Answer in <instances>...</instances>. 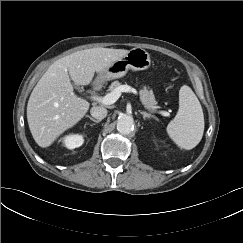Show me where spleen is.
<instances>
[{
	"mask_svg": "<svg viewBox=\"0 0 243 243\" xmlns=\"http://www.w3.org/2000/svg\"><path fill=\"white\" fill-rule=\"evenodd\" d=\"M166 131L174 143L185 150L193 149L202 139L203 110L197 96L187 85L179 90V109Z\"/></svg>",
	"mask_w": 243,
	"mask_h": 243,
	"instance_id": "3e777b00",
	"label": "spleen"
}]
</instances>
